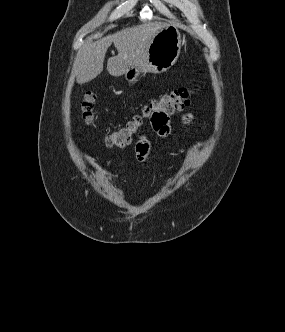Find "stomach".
<instances>
[{
  "label": "stomach",
  "instance_id": "obj_1",
  "mask_svg": "<svg viewBox=\"0 0 285 332\" xmlns=\"http://www.w3.org/2000/svg\"><path fill=\"white\" fill-rule=\"evenodd\" d=\"M182 47L180 31L168 25L161 29L153 38L142 64L130 68L125 73L129 83L137 81L140 73H163L171 68L177 61Z\"/></svg>",
  "mask_w": 285,
  "mask_h": 332
}]
</instances>
